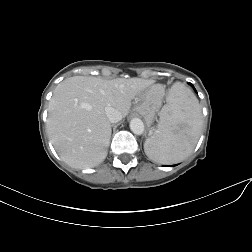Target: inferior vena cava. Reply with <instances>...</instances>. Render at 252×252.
Instances as JSON below:
<instances>
[{"label":"inferior vena cava","mask_w":252,"mask_h":252,"mask_svg":"<svg viewBox=\"0 0 252 252\" xmlns=\"http://www.w3.org/2000/svg\"><path fill=\"white\" fill-rule=\"evenodd\" d=\"M105 114L111 123H117L122 119L121 113L113 107H105Z\"/></svg>","instance_id":"602c4592"}]
</instances>
